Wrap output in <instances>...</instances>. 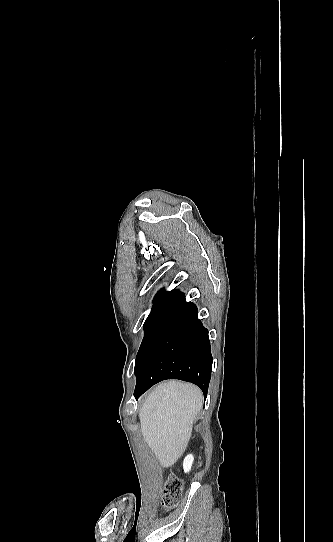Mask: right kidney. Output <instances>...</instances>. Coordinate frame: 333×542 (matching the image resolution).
Returning a JSON list of instances; mask_svg holds the SVG:
<instances>
[{
    "instance_id": "obj_1",
    "label": "right kidney",
    "mask_w": 333,
    "mask_h": 542,
    "mask_svg": "<svg viewBox=\"0 0 333 542\" xmlns=\"http://www.w3.org/2000/svg\"><path fill=\"white\" fill-rule=\"evenodd\" d=\"M193 462H194V458H193L192 454H188V456H186V458H184L183 470H184L185 474H188V472H190Z\"/></svg>"
}]
</instances>
